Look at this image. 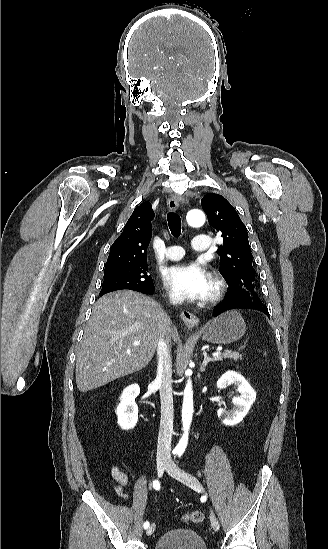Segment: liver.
Wrapping results in <instances>:
<instances>
[{
  "label": "liver",
  "mask_w": 328,
  "mask_h": 549,
  "mask_svg": "<svg viewBox=\"0 0 328 549\" xmlns=\"http://www.w3.org/2000/svg\"><path fill=\"white\" fill-rule=\"evenodd\" d=\"M177 337L161 305L135 291H117L98 299L76 355V385L87 393L150 363L159 339ZM134 341H140L134 347Z\"/></svg>",
  "instance_id": "6515ba94"
}]
</instances>
